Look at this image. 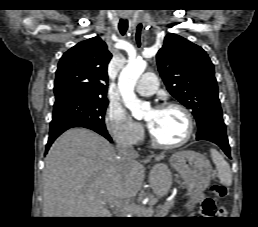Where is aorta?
I'll list each match as a JSON object with an SVG mask.
<instances>
[{
  "instance_id": "1",
  "label": "aorta",
  "mask_w": 258,
  "mask_h": 227,
  "mask_svg": "<svg viewBox=\"0 0 258 227\" xmlns=\"http://www.w3.org/2000/svg\"><path fill=\"white\" fill-rule=\"evenodd\" d=\"M146 66L147 63L144 60L129 61L122 69L118 79V87L124 105L135 118L142 117L144 110L148 107V104L139 100L134 92L135 85Z\"/></svg>"
}]
</instances>
